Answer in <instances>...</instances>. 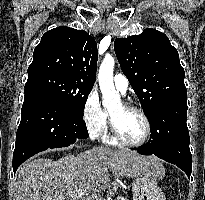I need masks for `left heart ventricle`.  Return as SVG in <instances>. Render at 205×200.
<instances>
[{"label":"left heart ventricle","instance_id":"1","mask_svg":"<svg viewBox=\"0 0 205 200\" xmlns=\"http://www.w3.org/2000/svg\"><path fill=\"white\" fill-rule=\"evenodd\" d=\"M110 115L124 139L138 142L143 138L145 123L138 113L128 111L119 104L110 111Z\"/></svg>","mask_w":205,"mask_h":200}]
</instances>
